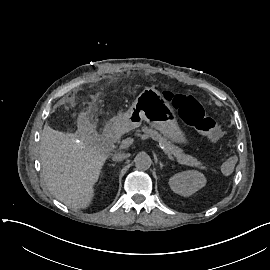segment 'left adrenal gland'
Returning <instances> with one entry per match:
<instances>
[{
    "mask_svg": "<svg viewBox=\"0 0 270 270\" xmlns=\"http://www.w3.org/2000/svg\"><path fill=\"white\" fill-rule=\"evenodd\" d=\"M161 170L164 169V165L160 162Z\"/></svg>",
    "mask_w": 270,
    "mask_h": 270,
    "instance_id": "a2214340",
    "label": "left adrenal gland"
}]
</instances>
